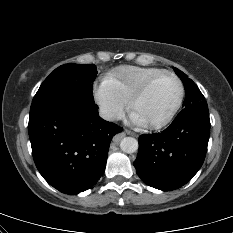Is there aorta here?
Returning <instances> with one entry per match:
<instances>
[{"mask_svg":"<svg viewBox=\"0 0 233 233\" xmlns=\"http://www.w3.org/2000/svg\"><path fill=\"white\" fill-rule=\"evenodd\" d=\"M120 148L125 153H134L138 150V141L133 137H125L120 142Z\"/></svg>","mask_w":233,"mask_h":233,"instance_id":"obj_1","label":"aorta"}]
</instances>
